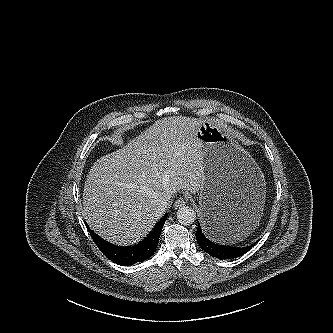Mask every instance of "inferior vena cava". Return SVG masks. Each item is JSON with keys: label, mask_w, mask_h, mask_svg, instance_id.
<instances>
[{"label": "inferior vena cava", "mask_w": 333, "mask_h": 333, "mask_svg": "<svg viewBox=\"0 0 333 333\" xmlns=\"http://www.w3.org/2000/svg\"><path fill=\"white\" fill-rule=\"evenodd\" d=\"M170 200L169 199H163L159 202V208L163 211L166 210V208L168 207V205L170 204Z\"/></svg>", "instance_id": "602c4592"}]
</instances>
